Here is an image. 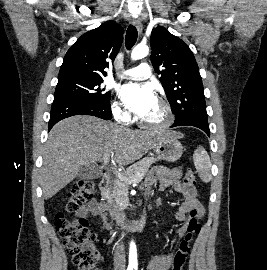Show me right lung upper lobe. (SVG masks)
Segmentation results:
<instances>
[{
  "instance_id": "obj_1",
  "label": "right lung upper lobe",
  "mask_w": 267,
  "mask_h": 270,
  "mask_svg": "<svg viewBox=\"0 0 267 270\" xmlns=\"http://www.w3.org/2000/svg\"><path fill=\"white\" fill-rule=\"evenodd\" d=\"M123 40V29L113 21L83 34L67 51L59 77L102 79L113 63Z\"/></svg>"
}]
</instances>
